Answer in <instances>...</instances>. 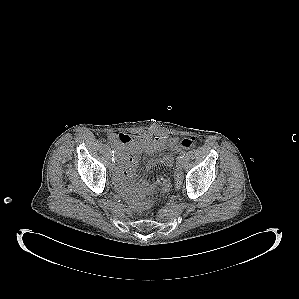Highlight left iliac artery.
<instances>
[{"label": "left iliac artery", "instance_id": "obj_1", "mask_svg": "<svg viewBox=\"0 0 299 299\" xmlns=\"http://www.w3.org/2000/svg\"><path fill=\"white\" fill-rule=\"evenodd\" d=\"M185 154H186V152H185V151H182V152L180 153V158H183V157L185 156Z\"/></svg>", "mask_w": 299, "mask_h": 299}]
</instances>
